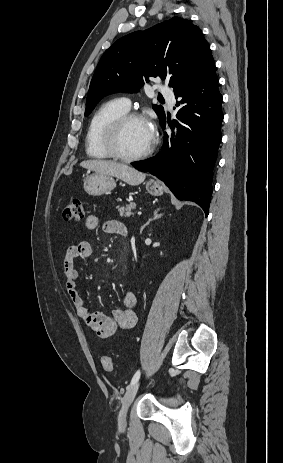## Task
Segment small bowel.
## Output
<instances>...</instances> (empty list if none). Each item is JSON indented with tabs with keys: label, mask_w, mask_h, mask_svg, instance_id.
Segmentation results:
<instances>
[{
	"label": "small bowel",
	"mask_w": 283,
	"mask_h": 463,
	"mask_svg": "<svg viewBox=\"0 0 283 463\" xmlns=\"http://www.w3.org/2000/svg\"><path fill=\"white\" fill-rule=\"evenodd\" d=\"M98 225V218L94 215H90L85 219L84 227L88 231L96 230ZM102 229L106 234L124 237L128 234L126 226L116 220L105 222ZM92 253V245L84 241L77 245L69 246L63 261L65 288L74 305L77 316L87 328L94 331L100 338L111 337L118 331H130L136 325L137 320L134 312L137 298L133 291H126L122 296L123 308L113 309L109 315L103 312L91 311L85 299L78 292V271L75 268L74 262L76 259L89 258Z\"/></svg>",
	"instance_id": "c3829d8e"
}]
</instances>
